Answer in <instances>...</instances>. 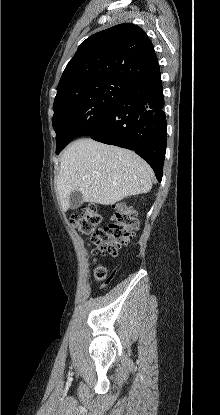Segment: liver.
Segmentation results:
<instances>
[{"mask_svg": "<svg viewBox=\"0 0 220 415\" xmlns=\"http://www.w3.org/2000/svg\"><path fill=\"white\" fill-rule=\"evenodd\" d=\"M151 167L134 152L92 139H79L63 153L57 191L63 210L69 196L82 194L84 202L111 205L152 188Z\"/></svg>", "mask_w": 220, "mask_h": 415, "instance_id": "obj_1", "label": "liver"}]
</instances>
